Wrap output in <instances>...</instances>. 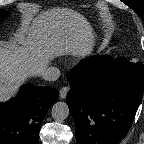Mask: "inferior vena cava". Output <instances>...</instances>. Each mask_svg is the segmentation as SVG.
Here are the masks:
<instances>
[{
	"mask_svg": "<svg viewBox=\"0 0 144 144\" xmlns=\"http://www.w3.org/2000/svg\"><path fill=\"white\" fill-rule=\"evenodd\" d=\"M60 76V70L57 67H47L42 72V78L47 81H55Z\"/></svg>",
	"mask_w": 144,
	"mask_h": 144,
	"instance_id": "1",
	"label": "inferior vena cava"
}]
</instances>
